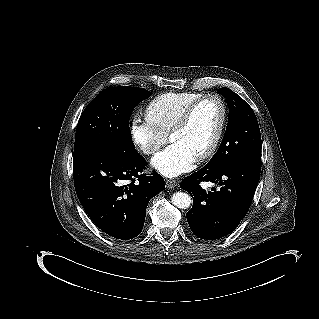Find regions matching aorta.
I'll return each mask as SVG.
<instances>
[{"label": "aorta", "instance_id": "1", "mask_svg": "<svg viewBox=\"0 0 319 319\" xmlns=\"http://www.w3.org/2000/svg\"><path fill=\"white\" fill-rule=\"evenodd\" d=\"M172 200L174 205L179 209H188L192 204L190 195L186 193H176Z\"/></svg>", "mask_w": 319, "mask_h": 319}]
</instances>
